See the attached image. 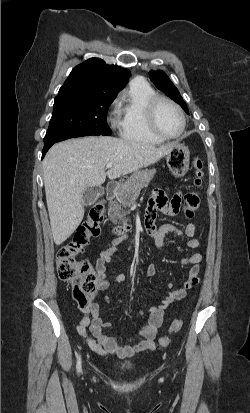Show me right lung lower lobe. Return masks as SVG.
<instances>
[{
  "label": "right lung lower lobe",
  "mask_w": 250,
  "mask_h": 413,
  "mask_svg": "<svg viewBox=\"0 0 250 413\" xmlns=\"http://www.w3.org/2000/svg\"><path fill=\"white\" fill-rule=\"evenodd\" d=\"M89 135L99 136L98 134L79 132V133H73V134L65 135V136H62V137L58 138V139H57L56 141H54V142L46 143L45 146H44V148H43V151H42V159H43V157L45 156L46 152L49 150V148H50L54 143H57V142H60V141H63V140L69 139V138L89 136Z\"/></svg>",
  "instance_id": "right-lung-lower-lobe-1"
}]
</instances>
